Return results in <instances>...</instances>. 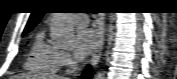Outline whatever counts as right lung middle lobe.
Wrapping results in <instances>:
<instances>
[{
    "mask_svg": "<svg viewBox=\"0 0 177 79\" xmlns=\"http://www.w3.org/2000/svg\"><path fill=\"white\" fill-rule=\"evenodd\" d=\"M33 29V27H27V28H25V30H24V32H23V34L22 35H25V34H27L29 31H31Z\"/></svg>",
    "mask_w": 177,
    "mask_h": 79,
    "instance_id": "right-lung-middle-lobe-1",
    "label": "right lung middle lobe"
}]
</instances>
